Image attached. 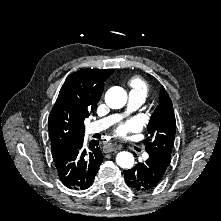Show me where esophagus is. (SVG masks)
<instances>
[{
	"label": "esophagus",
	"mask_w": 221,
	"mask_h": 221,
	"mask_svg": "<svg viewBox=\"0 0 221 221\" xmlns=\"http://www.w3.org/2000/svg\"><path fill=\"white\" fill-rule=\"evenodd\" d=\"M105 148L108 152H113L119 150L121 146L117 144L108 143L107 145H105Z\"/></svg>",
	"instance_id": "obj_1"
}]
</instances>
